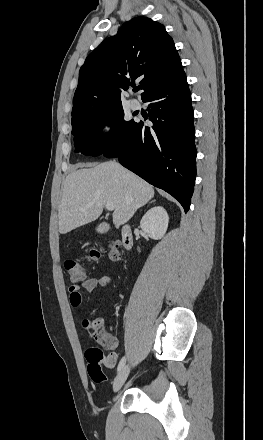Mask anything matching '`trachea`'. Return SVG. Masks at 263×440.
<instances>
[{"mask_svg": "<svg viewBox=\"0 0 263 440\" xmlns=\"http://www.w3.org/2000/svg\"><path fill=\"white\" fill-rule=\"evenodd\" d=\"M134 91L137 92V91H138V88H134Z\"/></svg>", "mask_w": 263, "mask_h": 440, "instance_id": "3493384b", "label": "trachea"}]
</instances>
